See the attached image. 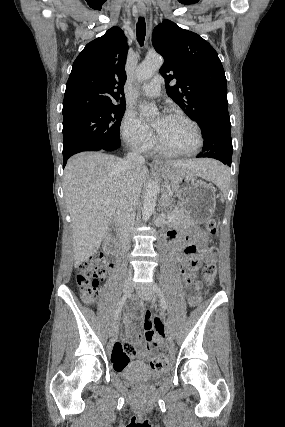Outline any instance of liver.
Listing matches in <instances>:
<instances>
[{
	"mask_svg": "<svg viewBox=\"0 0 285 427\" xmlns=\"http://www.w3.org/2000/svg\"><path fill=\"white\" fill-rule=\"evenodd\" d=\"M124 163V159L109 154L83 153L71 159L64 169V199L72 220L75 267L97 252L123 196L131 193L139 198L148 169L142 165L129 172ZM165 165L188 169L209 180L218 163L189 159Z\"/></svg>",
	"mask_w": 285,
	"mask_h": 427,
	"instance_id": "obj_1",
	"label": "liver"
}]
</instances>
